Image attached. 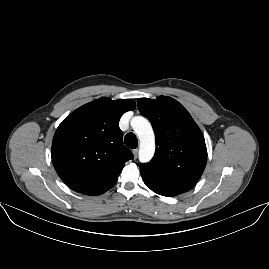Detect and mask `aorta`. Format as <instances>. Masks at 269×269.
Masks as SVG:
<instances>
[{
  "label": "aorta",
  "instance_id": "obj_1",
  "mask_svg": "<svg viewBox=\"0 0 269 269\" xmlns=\"http://www.w3.org/2000/svg\"><path fill=\"white\" fill-rule=\"evenodd\" d=\"M131 125L139 138V159L149 161L155 152V134L148 120L142 116L132 119Z\"/></svg>",
  "mask_w": 269,
  "mask_h": 269
}]
</instances>
